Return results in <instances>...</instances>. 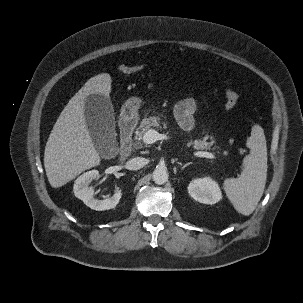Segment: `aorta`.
Returning a JSON list of instances; mask_svg holds the SVG:
<instances>
[{"mask_svg":"<svg viewBox=\"0 0 303 303\" xmlns=\"http://www.w3.org/2000/svg\"><path fill=\"white\" fill-rule=\"evenodd\" d=\"M168 171L164 167H157L152 174L153 181L158 184L162 185L168 181Z\"/></svg>","mask_w":303,"mask_h":303,"instance_id":"aorta-1","label":"aorta"}]
</instances>
